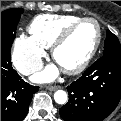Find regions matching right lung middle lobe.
Instances as JSON below:
<instances>
[{"instance_id": "obj_1", "label": "right lung middle lobe", "mask_w": 121, "mask_h": 121, "mask_svg": "<svg viewBox=\"0 0 121 121\" xmlns=\"http://www.w3.org/2000/svg\"><path fill=\"white\" fill-rule=\"evenodd\" d=\"M23 9H9L1 12V52H10L16 36L17 24Z\"/></svg>"}]
</instances>
